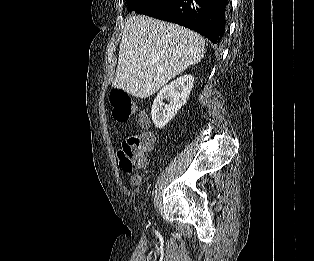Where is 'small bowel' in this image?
I'll return each instance as SVG.
<instances>
[{
  "instance_id": "obj_1",
  "label": "small bowel",
  "mask_w": 314,
  "mask_h": 261,
  "mask_svg": "<svg viewBox=\"0 0 314 261\" xmlns=\"http://www.w3.org/2000/svg\"><path fill=\"white\" fill-rule=\"evenodd\" d=\"M143 126H147L148 125V120L146 118V122L144 124H142ZM148 164V159H147V156L146 154L142 157V164L140 165V169H143V168H146Z\"/></svg>"
}]
</instances>
